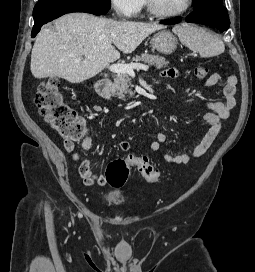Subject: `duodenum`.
I'll return each instance as SVG.
<instances>
[{"instance_id":"obj_1","label":"duodenum","mask_w":255,"mask_h":272,"mask_svg":"<svg viewBox=\"0 0 255 272\" xmlns=\"http://www.w3.org/2000/svg\"><path fill=\"white\" fill-rule=\"evenodd\" d=\"M97 93L105 100L112 101L113 94L111 92V80L109 78H101L95 83Z\"/></svg>"}]
</instances>
